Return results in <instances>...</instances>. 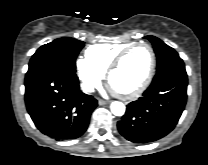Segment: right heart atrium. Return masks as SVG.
Wrapping results in <instances>:
<instances>
[{
  "label": "right heart atrium",
  "mask_w": 208,
  "mask_h": 165,
  "mask_svg": "<svg viewBox=\"0 0 208 165\" xmlns=\"http://www.w3.org/2000/svg\"><path fill=\"white\" fill-rule=\"evenodd\" d=\"M75 67L82 90L91 92L100 84L103 74L85 57H78L75 61Z\"/></svg>",
  "instance_id": "obj_1"
}]
</instances>
